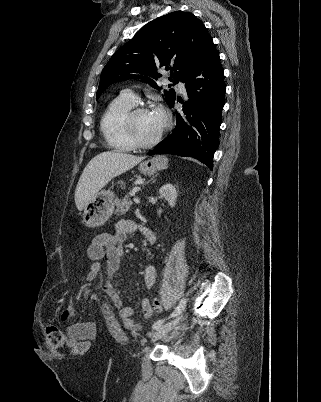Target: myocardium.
<instances>
[{
  "label": "myocardium",
  "instance_id": "obj_1",
  "mask_svg": "<svg viewBox=\"0 0 321 402\" xmlns=\"http://www.w3.org/2000/svg\"><path fill=\"white\" fill-rule=\"evenodd\" d=\"M146 111H149L147 107L134 106L125 114L123 119V127L126 137L135 148L148 149L155 146L162 139L163 135L169 129L171 124L169 117L164 115V124L157 135L150 141H141L135 131L134 118L137 114Z\"/></svg>",
  "mask_w": 321,
  "mask_h": 402
}]
</instances>
